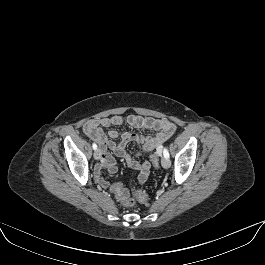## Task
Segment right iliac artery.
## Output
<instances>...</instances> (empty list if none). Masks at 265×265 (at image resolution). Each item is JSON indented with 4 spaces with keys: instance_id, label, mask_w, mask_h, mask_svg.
Wrapping results in <instances>:
<instances>
[{
    "instance_id": "1",
    "label": "right iliac artery",
    "mask_w": 265,
    "mask_h": 265,
    "mask_svg": "<svg viewBox=\"0 0 265 265\" xmlns=\"http://www.w3.org/2000/svg\"><path fill=\"white\" fill-rule=\"evenodd\" d=\"M92 147H93L94 150L97 149V145L95 143L92 144Z\"/></svg>"
}]
</instances>
